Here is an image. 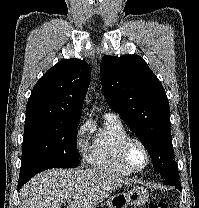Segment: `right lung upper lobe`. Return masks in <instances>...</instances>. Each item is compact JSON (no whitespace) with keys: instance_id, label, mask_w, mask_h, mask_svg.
Instances as JSON below:
<instances>
[{"instance_id":"obj_1","label":"right lung upper lobe","mask_w":199,"mask_h":208,"mask_svg":"<svg viewBox=\"0 0 199 208\" xmlns=\"http://www.w3.org/2000/svg\"><path fill=\"white\" fill-rule=\"evenodd\" d=\"M90 79L91 69L85 61L68 59L57 63L34 86L26 117L80 120Z\"/></svg>"}]
</instances>
